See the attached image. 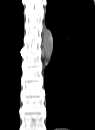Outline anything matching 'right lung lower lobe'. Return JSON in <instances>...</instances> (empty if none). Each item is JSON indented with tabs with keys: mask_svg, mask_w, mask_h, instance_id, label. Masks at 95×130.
<instances>
[{
	"mask_svg": "<svg viewBox=\"0 0 95 130\" xmlns=\"http://www.w3.org/2000/svg\"><path fill=\"white\" fill-rule=\"evenodd\" d=\"M23 27L0 37V112L1 125L6 129H19V92Z\"/></svg>",
	"mask_w": 95,
	"mask_h": 130,
	"instance_id": "obj_1",
	"label": "right lung lower lobe"
}]
</instances>
